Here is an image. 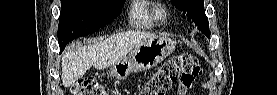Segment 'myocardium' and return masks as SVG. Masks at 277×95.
Masks as SVG:
<instances>
[{"instance_id":"1","label":"myocardium","mask_w":277,"mask_h":95,"mask_svg":"<svg viewBox=\"0 0 277 95\" xmlns=\"http://www.w3.org/2000/svg\"><path fill=\"white\" fill-rule=\"evenodd\" d=\"M167 14H168V10L164 6H158L154 10V17L159 21L166 19Z\"/></svg>"}]
</instances>
